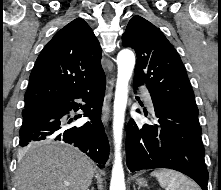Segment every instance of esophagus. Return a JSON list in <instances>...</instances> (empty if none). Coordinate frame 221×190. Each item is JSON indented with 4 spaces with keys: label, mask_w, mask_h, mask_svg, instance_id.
<instances>
[{
    "label": "esophagus",
    "mask_w": 221,
    "mask_h": 190,
    "mask_svg": "<svg viewBox=\"0 0 221 190\" xmlns=\"http://www.w3.org/2000/svg\"><path fill=\"white\" fill-rule=\"evenodd\" d=\"M113 78L109 79L106 86V94L104 98V105L102 110V121L105 125H107V122L110 117V111H111V100L113 96Z\"/></svg>",
    "instance_id": "obj_1"
}]
</instances>
